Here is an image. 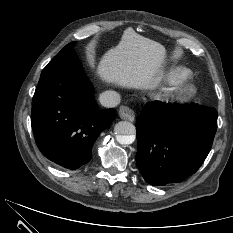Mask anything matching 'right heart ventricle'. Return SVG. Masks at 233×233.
I'll use <instances>...</instances> for the list:
<instances>
[{"mask_svg": "<svg viewBox=\"0 0 233 233\" xmlns=\"http://www.w3.org/2000/svg\"><path fill=\"white\" fill-rule=\"evenodd\" d=\"M190 74V70L185 67H175L167 72L165 80L168 83L173 84L187 79Z\"/></svg>", "mask_w": 233, "mask_h": 233, "instance_id": "1", "label": "right heart ventricle"}]
</instances>
